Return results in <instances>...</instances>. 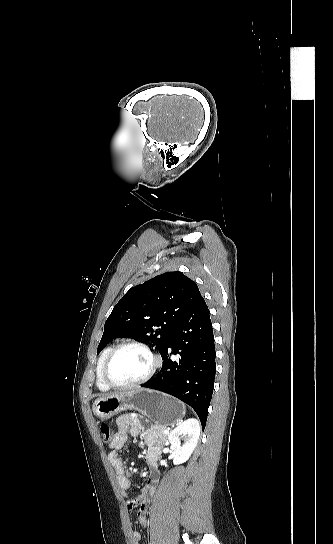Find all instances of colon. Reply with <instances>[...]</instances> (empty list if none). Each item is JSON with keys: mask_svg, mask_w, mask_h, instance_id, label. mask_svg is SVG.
Masks as SVG:
<instances>
[{"mask_svg": "<svg viewBox=\"0 0 333 544\" xmlns=\"http://www.w3.org/2000/svg\"><path fill=\"white\" fill-rule=\"evenodd\" d=\"M100 432L104 442L110 443L112 441V438H113L112 431H111V428L107 424L101 425Z\"/></svg>", "mask_w": 333, "mask_h": 544, "instance_id": "1", "label": "colon"}]
</instances>
